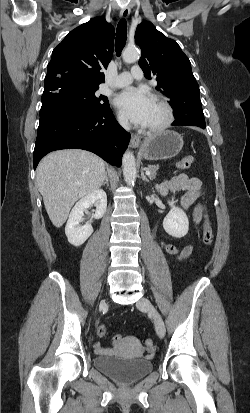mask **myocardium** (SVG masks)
Listing matches in <instances>:
<instances>
[{
	"mask_svg": "<svg viewBox=\"0 0 250 413\" xmlns=\"http://www.w3.org/2000/svg\"><path fill=\"white\" fill-rule=\"evenodd\" d=\"M153 101L164 111V120L155 126H146L145 130L149 133H160L171 126L174 121V109L167 99L160 95H154Z\"/></svg>",
	"mask_w": 250,
	"mask_h": 413,
	"instance_id": "myocardium-1",
	"label": "myocardium"
}]
</instances>
